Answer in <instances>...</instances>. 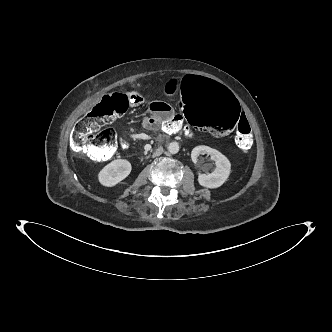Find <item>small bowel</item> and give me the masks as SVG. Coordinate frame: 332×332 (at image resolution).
<instances>
[{"instance_id": "c3829d8e", "label": "small bowel", "mask_w": 332, "mask_h": 332, "mask_svg": "<svg viewBox=\"0 0 332 332\" xmlns=\"http://www.w3.org/2000/svg\"><path fill=\"white\" fill-rule=\"evenodd\" d=\"M178 84V79H168L165 83V88L166 89H171L172 93H175L176 86ZM136 97L138 98V101L135 102L133 100L132 104L133 105H138L144 102V98L140 94H135ZM174 119V122L176 124V127H183L180 124V118L174 117V112L172 110V106L166 102V101H153L150 102L148 105V116L144 119L143 121V127L146 130H157L160 125L163 123L164 120H171ZM158 123V125H157ZM183 130L187 131L190 136L194 135V132L188 128V127H183ZM231 133V132H230ZM229 133V134H230ZM227 134V135H229ZM141 134H137L136 137L140 136ZM225 135V136H227ZM222 136V137H225ZM222 137H216V138H222Z\"/></svg>"}]
</instances>
